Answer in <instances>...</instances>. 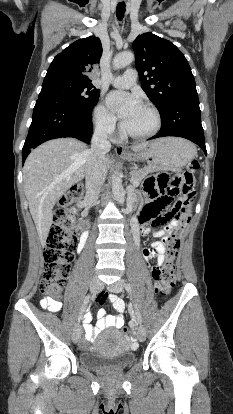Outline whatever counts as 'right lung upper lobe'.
<instances>
[{
	"label": "right lung upper lobe",
	"mask_w": 233,
	"mask_h": 414,
	"mask_svg": "<svg viewBox=\"0 0 233 414\" xmlns=\"http://www.w3.org/2000/svg\"><path fill=\"white\" fill-rule=\"evenodd\" d=\"M101 55L102 45L98 37L77 40L53 59L46 77L62 76L91 83L85 74L91 71L92 65L99 63Z\"/></svg>",
	"instance_id": "1"
}]
</instances>
